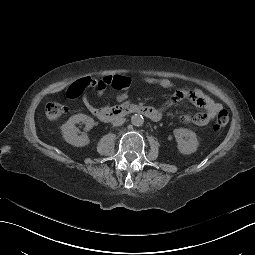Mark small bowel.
I'll return each instance as SVG.
<instances>
[{
  "mask_svg": "<svg viewBox=\"0 0 255 255\" xmlns=\"http://www.w3.org/2000/svg\"><path fill=\"white\" fill-rule=\"evenodd\" d=\"M128 84L120 89V92L117 95V100L119 102H122L126 100L129 97L131 88L133 86L132 80L127 78ZM142 82H145L149 85L152 86H159L162 88H173L174 83L168 79L164 78H155V77H145L141 79ZM105 89L97 90L96 95L97 96H102L104 93ZM67 97L69 99H74L76 98L79 94L73 92L70 87L67 90L66 93ZM182 100H188L195 104L198 107H201L204 109L203 112H198L193 115H185L181 118V121L183 123H192L197 126H205L207 125L210 121H212L215 116L219 113V111L222 110V106L219 103H216L212 98L207 96L202 90L200 89H180L175 91L170 98L163 104V106L160 108V110H164L167 107H170ZM83 103L87 107L88 110L92 111L95 106L91 102L90 96L84 95L83 97Z\"/></svg>",
  "mask_w": 255,
  "mask_h": 255,
  "instance_id": "small-bowel-1",
  "label": "small bowel"
}]
</instances>
